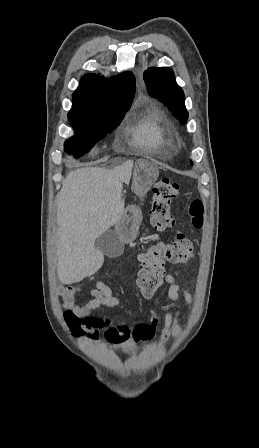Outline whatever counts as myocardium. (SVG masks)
Masks as SVG:
<instances>
[{"label": "myocardium", "instance_id": "f54148a6", "mask_svg": "<svg viewBox=\"0 0 259 448\" xmlns=\"http://www.w3.org/2000/svg\"><path fill=\"white\" fill-rule=\"evenodd\" d=\"M149 156H160L158 153L155 152H148ZM175 152L172 153L171 158H172V163L173 161V157H174Z\"/></svg>", "mask_w": 259, "mask_h": 448}]
</instances>
